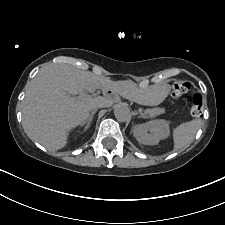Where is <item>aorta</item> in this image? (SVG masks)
Masks as SVG:
<instances>
[{
    "label": "aorta",
    "instance_id": "1",
    "mask_svg": "<svg viewBox=\"0 0 225 225\" xmlns=\"http://www.w3.org/2000/svg\"><path fill=\"white\" fill-rule=\"evenodd\" d=\"M114 115L119 122H127L131 119L130 109L123 103L117 104L115 106Z\"/></svg>",
    "mask_w": 225,
    "mask_h": 225
}]
</instances>
